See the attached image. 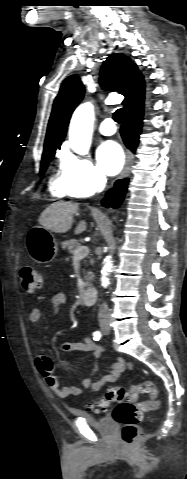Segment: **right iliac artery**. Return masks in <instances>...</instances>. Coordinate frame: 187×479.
Returning <instances> with one entry per match:
<instances>
[{"label": "right iliac artery", "instance_id": "82829eb1", "mask_svg": "<svg viewBox=\"0 0 187 479\" xmlns=\"http://www.w3.org/2000/svg\"><path fill=\"white\" fill-rule=\"evenodd\" d=\"M101 337H102L101 331H95V332L93 333V339H94L95 341H99V340L101 339Z\"/></svg>", "mask_w": 187, "mask_h": 479}]
</instances>
